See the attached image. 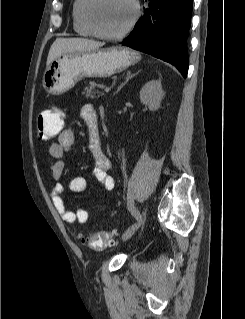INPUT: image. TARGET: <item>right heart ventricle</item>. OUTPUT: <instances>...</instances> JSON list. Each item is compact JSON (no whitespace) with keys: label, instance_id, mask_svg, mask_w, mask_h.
Here are the masks:
<instances>
[{"label":"right heart ventricle","instance_id":"1","mask_svg":"<svg viewBox=\"0 0 245 319\" xmlns=\"http://www.w3.org/2000/svg\"><path fill=\"white\" fill-rule=\"evenodd\" d=\"M86 2L87 0H73L71 11L73 28L81 36H94L95 34L88 26L84 16Z\"/></svg>","mask_w":245,"mask_h":319}]
</instances>
